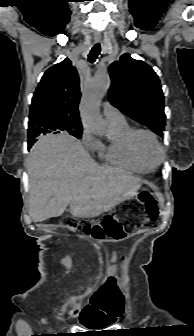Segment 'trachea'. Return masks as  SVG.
<instances>
[{
  "mask_svg": "<svg viewBox=\"0 0 194 336\" xmlns=\"http://www.w3.org/2000/svg\"><path fill=\"white\" fill-rule=\"evenodd\" d=\"M100 51H101V46L99 43L95 44L91 51H90V54L88 56V59H89V62L90 63H94L98 57V55L100 54Z\"/></svg>",
  "mask_w": 194,
  "mask_h": 336,
  "instance_id": "obj_1",
  "label": "trachea"
}]
</instances>
